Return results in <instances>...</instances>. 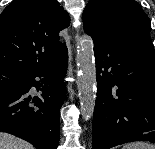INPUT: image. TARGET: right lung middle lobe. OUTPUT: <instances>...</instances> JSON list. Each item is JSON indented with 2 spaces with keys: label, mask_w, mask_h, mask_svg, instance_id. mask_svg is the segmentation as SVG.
<instances>
[{
  "label": "right lung middle lobe",
  "mask_w": 155,
  "mask_h": 149,
  "mask_svg": "<svg viewBox=\"0 0 155 149\" xmlns=\"http://www.w3.org/2000/svg\"><path fill=\"white\" fill-rule=\"evenodd\" d=\"M26 76V74L19 71L0 69V91L21 89Z\"/></svg>",
  "instance_id": "dd1d6c3e"
}]
</instances>
